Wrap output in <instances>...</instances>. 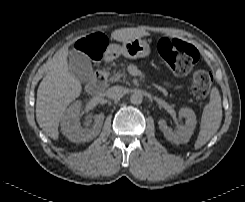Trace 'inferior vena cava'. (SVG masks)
<instances>
[{
    "label": "inferior vena cava",
    "mask_w": 245,
    "mask_h": 202,
    "mask_svg": "<svg viewBox=\"0 0 245 202\" xmlns=\"http://www.w3.org/2000/svg\"><path fill=\"white\" fill-rule=\"evenodd\" d=\"M125 88L122 86H113L106 90L105 95L108 98H112L114 100H119L125 94Z\"/></svg>",
    "instance_id": "602c4592"
}]
</instances>
